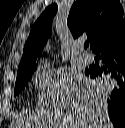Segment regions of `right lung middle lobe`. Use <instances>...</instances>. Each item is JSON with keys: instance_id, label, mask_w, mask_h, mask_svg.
Listing matches in <instances>:
<instances>
[{"instance_id": "1", "label": "right lung middle lobe", "mask_w": 125, "mask_h": 128, "mask_svg": "<svg viewBox=\"0 0 125 128\" xmlns=\"http://www.w3.org/2000/svg\"><path fill=\"white\" fill-rule=\"evenodd\" d=\"M37 65L33 64L21 71L17 72V78L15 83L14 96L18 95L22 89L27 85L31 75L36 70ZM106 78L104 76L98 77L95 81L99 84L105 82Z\"/></svg>"}]
</instances>
